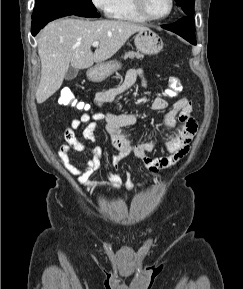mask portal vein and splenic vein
<instances>
[{
	"instance_id": "obj_1",
	"label": "portal vein and splenic vein",
	"mask_w": 243,
	"mask_h": 289,
	"mask_svg": "<svg viewBox=\"0 0 243 289\" xmlns=\"http://www.w3.org/2000/svg\"><path fill=\"white\" fill-rule=\"evenodd\" d=\"M98 45H99V42H98V41H95V42L92 43V46H93V47H98Z\"/></svg>"
}]
</instances>
